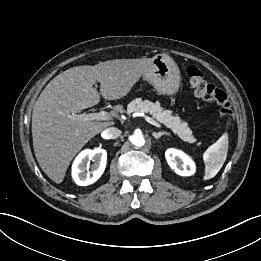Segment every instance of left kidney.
Returning <instances> with one entry per match:
<instances>
[{"instance_id":"obj_1","label":"left kidney","mask_w":261,"mask_h":261,"mask_svg":"<svg viewBox=\"0 0 261 261\" xmlns=\"http://www.w3.org/2000/svg\"><path fill=\"white\" fill-rule=\"evenodd\" d=\"M168 165L181 176H191L195 173V164L184 152L177 149H168L165 152Z\"/></svg>"}]
</instances>
